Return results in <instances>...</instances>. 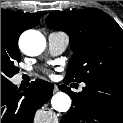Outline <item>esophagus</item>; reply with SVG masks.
<instances>
[{"mask_svg":"<svg viewBox=\"0 0 123 123\" xmlns=\"http://www.w3.org/2000/svg\"><path fill=\"white\" fill-rule=\"evenodd\" d=\"M58 91H59L58 86H57V85H54L53 92L56 93V92H58Z\"/></svg>","mask_w":123,"mask_h":123,"instance_id":"obj_1","label":"esophagus"}]
</instances>
